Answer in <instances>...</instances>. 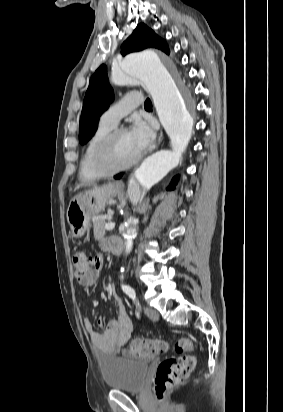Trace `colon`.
Segmentation results:
<instances>
[{"instance_id":"5ec220e1","label":"colon","mask_w":283,"mask_h":412,"mask_svg":"<svg viewBox=\"0 0 283 412\" xmlns=\"http://www.w3.org/2000/svg\"><path fill=\"white\" fill-rule=\"evenodd\" d=\"M97 255L88 256L83 251L73 255L74 275L79 281L87 279L89 273L100 264ZM168 342L156 340H132L130 353L134 357L149 358L159 355L168 349ZM177 352L182 353L178 357H170L163 360L158 366L155 377V392L159 401H163L167 391L182 383L194 369L197 357L193 353V343L189 338H180L175 343Z\"/></svg>"}]
</instances>
